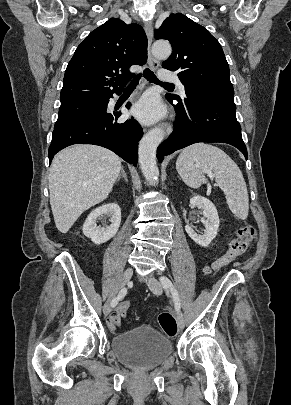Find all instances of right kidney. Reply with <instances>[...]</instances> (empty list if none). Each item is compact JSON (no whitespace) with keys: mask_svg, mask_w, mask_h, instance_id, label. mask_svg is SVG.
<instances>
[{"mask_svg":"<svg viewBox=\"0 0 291 405\" xmlns=\"http://www.w3.org/2000/svg\"><path fill=\"white\" fill-rule=\"evenodd\" d=\"M109 216L111 224L107 227L97 226L96 222L103 216ZM121 223V210L116 203L104 204L93 210L83 224V233L95 244H102L116 235Z\"/></svg>","mask_w":291,"mask_h":405,"instance_id":"obj_1","label":"right kidney"}]
</instances>
